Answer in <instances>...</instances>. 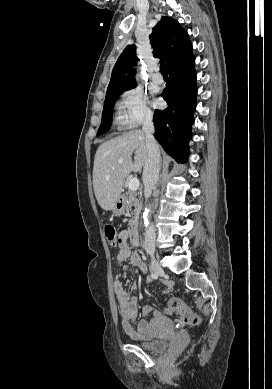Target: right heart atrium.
<instances>
[{
    "label": "right heart atrium",
    "mask_w": 272,
    "mask_h": 389,
    "mask_svg": "<svg viewBox=\"0 0 272 389\" xmlns=\"http://www.w3.org/2000/svg\"><path fill=\"white\" fill-rule=\"evenodd\" d=\"M120 118L127 127H138L151 121L152 112L148 106L147 96L140 90L132 88L126 90L120 97L118 104Z\"/></svg>",
    "instance_id": "1"
}]
</instances>
